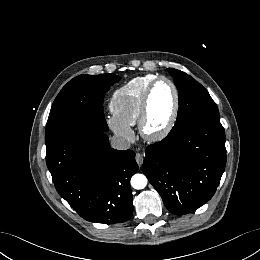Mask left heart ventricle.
Masks as SVG:
<instances>
[{"label": "left heart ventricle", "mask_w": 260, "mask_h": 260, "mask_svg": "<svg viewBox=\"0 0 260 260\" xmlns=\"http://www.w3.org/2000/svg\"><path fill=\"white\" fill-rule=\"evenodd\" d=\"M174 108V93L167 82H160L155 87L149 105L147 130L158 132L168 123Z\"/></svg>", "instance_id": "obj_1"}]
</instances>
